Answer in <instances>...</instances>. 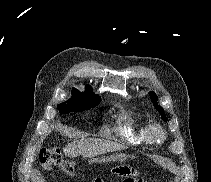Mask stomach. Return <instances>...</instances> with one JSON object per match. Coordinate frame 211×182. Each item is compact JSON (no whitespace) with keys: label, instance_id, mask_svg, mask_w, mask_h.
<instances>
[{"label":"stomach","instance_id":"1","mask_svg":"<svg viewBox=\"0 0 211 182\" xmlns=\"http://www.w3.org/2000/svg\"><path fill=\"white\" fill-rule=\"evenodd\" d=\"M115 158L119 161H124L127 158V156L124 154H120V155L115 156Z\"/></svg>","mask_w":211,"mask_h":182}]
</instances>
